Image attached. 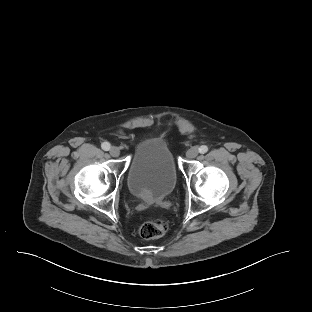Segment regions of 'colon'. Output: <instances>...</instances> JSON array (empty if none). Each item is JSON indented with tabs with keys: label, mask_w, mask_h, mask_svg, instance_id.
Returning a JSON list of instances; mask_svg holds the SVG:
<instances>
[{
	"label": "colon",
	"mask_w": 312,
	"mask_h": 312,
	"mask_svg": "<svg viewBox=\"0 0 312 312\" xmlns=\"http://www.w3.org/2000/svg\"><path fill=\"white\" fill-rule=\"evenodd\" d=\"M168 230V223L165 220L157 219L142 224L139 229V235L144 239H155L164 235Z\"/></svg>",
	"instance_id": "colon-1"
}]
</instances>
